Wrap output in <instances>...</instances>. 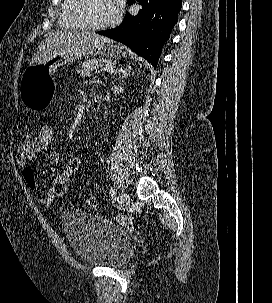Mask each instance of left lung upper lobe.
<instances>
[{
	"instance_id": "5c2ea615",
	"label": "left lung upper lobe",
	"mask_w": 272,
	"mask_h": 303,
	"mask_svg": "<svg viewBox=\"0 0 272 303\" xmlns=\"http://www.w3.org/2000/svg\"><path fill=\"white\" fill-rule=\"evenodd\" d=\"M132 0H128V3H130Z\"/></svg>"
}]
</instances>
